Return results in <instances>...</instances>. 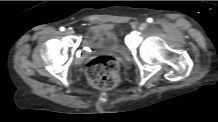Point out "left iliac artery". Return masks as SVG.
Here are the masks:
<instances>
[{"label":"left iliac artery","instance_id":"left-iliac-artery-1","mask_svg":"<svg viewBox=\"0 0 218 122\" xmlns=\"http://www.w3.org/2000/svg\"><path fill=\"white\" fill-rule=\"evenodd\" d=\"M147 22H148V23H152V22H153V19H152V18H148V19H147Z\"/></svg>","mask_w":218,"mask_h":122}]
</instances>
